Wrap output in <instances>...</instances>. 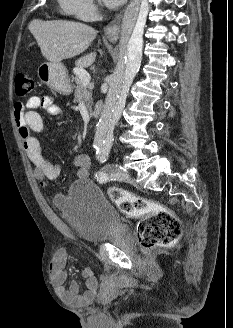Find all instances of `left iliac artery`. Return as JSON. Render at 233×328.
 Segmentation results:
<instances>
[{"label":"left iliac artery","instance_id":"44dca946","mask_svg":"<svg viewBox=\"0 0 233 328\" xmlns=\"http://www.w3.org/2000/svg\"><path fill=\"white\" fill-rule=\"evenodd\" d=\"M97 149V159L100 162H105L108 157H109V152H110V147L109 146H104V147H96ZM97 181H99L100 183H105L106 181L109 180V178L111 177L108 172L105 171H101L96 173L95 175Z\"/></svg>","mask_w":233,"mask_h":328}]
</instances>
